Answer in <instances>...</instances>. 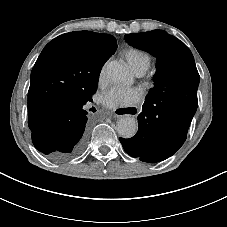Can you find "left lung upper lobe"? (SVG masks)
<instances>
[{"instance_id":"1","label":"left lung upper lobe","mask_w":227,"mask_h":227,"mask_svg":"<svg viewBox=\"0 0 227 227\" xmlns=\"http://www.w3.org/2000/svg\"><path fill=\"white\" fill-rule=\"evenodd\" d=\"M132 46L141 48L157 58V72L153 77L154 87L145 100L183 80L185 74L197 71L190 49L176 37L163 30L125 35Z\"/></svg>"}]
</instances>
